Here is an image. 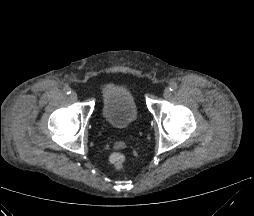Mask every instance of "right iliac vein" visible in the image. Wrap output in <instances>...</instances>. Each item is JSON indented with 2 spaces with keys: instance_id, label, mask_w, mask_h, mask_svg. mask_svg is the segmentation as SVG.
<instances>
[{
  "instance_id": "obj_1",
  "label": "right iliac vein",
  "mask_w": 254,
  "mask_h": 216,
  "mask_svg": "<svg viewBox=\"0 0 254 216\" xmlns=\"http://www.w3.org/2000/svg\"><path fill=\"white\" fill-rule=\"evenodd\" d=\"M70 97L72 99H77V93L75 91L71 92Z\"/></svg>"
}]
</instances>
